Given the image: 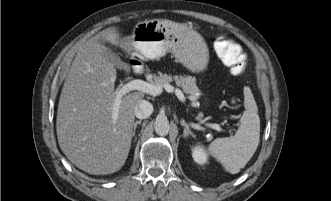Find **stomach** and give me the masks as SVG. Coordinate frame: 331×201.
Masks as SVG:
<instances>
[{
    "instance_id": "stomach-1",
    "label": "stomach",
    "mask_w": 331,
    "mask_h": 201,
    "mask_svg": "<svg viewBox=\"0 0 331 201\" xmlns=\"http://www.w3.org/2000/svg\"><path fill=\"white\" fill-rule=\"evenodd\" d=\"M124 47L146 59L154 60L172 53L176 60L192 72L203 71L209 54L202 36L187 26L165 19L138 22Z\"/></svg>"
}]
</instances>
